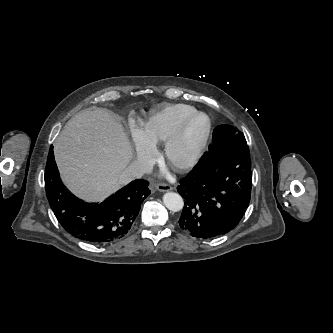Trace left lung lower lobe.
I'll list each match as a JSON object with an SVG mask.
<instances>
[{"label":"left lung lower lobe","instance_id":"left-lung-lower-lobe-1","mask_svg":"<svg viewBox=\"0 0 333 333\" xmlns=\"http://www.w3.org/2000/svg\"><path fill=\"white\" fill-rule=\"evenodd\" d=\"M231 125L214 129L213 144L198 164L180 180L184 198L180 227L197 238H213L233 230L249 206L252 165L247 145L229 154L218 151L224 141L242 135Z\"/></svg>","mask_w":333,"mask_h":333}]
</instances>
